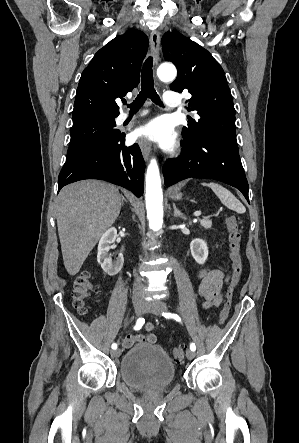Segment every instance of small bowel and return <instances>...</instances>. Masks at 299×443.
Listing matches in <instances>:
<instances>
[{
  "label": "small bowel",
  "mask_w": 299,
  "mask_h": 443,
  "mask_svg": "<svg viewBox=\"0 0 299 443\" xmlns=\"http://www.w3.org/2000/svg\"><path fill=\"white\" fill-rule=\"evenodd\" d=\"M196 278L199 295L204 301V307H218L222 300L223 287L227 282L225 274L218 269H203L197 273ZM155 329L154 324L147 323L145 325L146 334H127L122 337V346L130 348L135 343L155 344L157 342V336L153 333Z\"/></svg>",
  "instance_id": "obj_1"
}]
</instances>
